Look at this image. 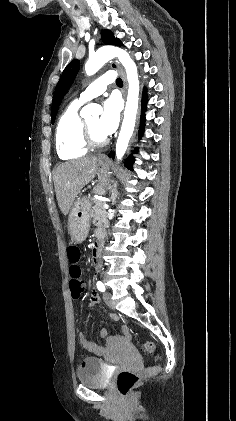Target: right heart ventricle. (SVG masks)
<instances>
[{
    "instance_id": "obj_1",
    "label": "right heart ventricle",
    "mask_w": 236,
    "mask_h": 421,
    "mask_svg": "<svg viewBox=\"0 0 236 421\" xmlns=\"http://www.w3.org/2000/svg\"><path fill=\"white\" fill-rule=\"evenodd\" d=\"M79 107V102H71L59 117L56 126V152L65 161L77 160L88 151V148L82 144L78 134L79 124L82 120Z\"/></svg>"
}]
</instances>
